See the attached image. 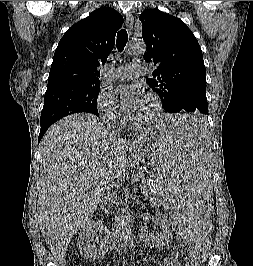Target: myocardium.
Wrapping results in <instances>:
<instances>
[{"label": "myocardium", "instance_id": "f54148a6", "mask_svg": "<svg viewBox=\"0 0 253 266\" xmlns=\"http://www.w3.org/2000/svg\"><path fill=\"white\" fill-rule=\"evenodd\" d=\"M146 97H148L149 99L153 101L154 107H155L154 112L152 116L145 121L134 120V123L138 126H150L154 124L159 119L162 113V103L159 97L156 94L151 93V92L147 93Z\"/></svg>", "mask_w": 253, "mask_h": 266}]
</instances>
